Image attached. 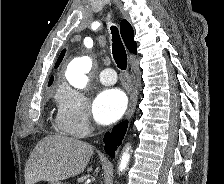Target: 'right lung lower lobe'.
Here are the masks:
<instances>
[{
    "mask_svg": "<svg viewBox=\"0 0 224 184\" xmlns=\"http://www.w3.org/2000/svg\"><path fill=\"white\" fill-rule=\"evenodd\" d=\"M128 122H121L115 128H113L111 133H107L104 137L105 151L111 157H115V150L122 142V139L126 133Z\"/></svg>",
    "mask_w": 224,
    "mask_h": 184,
    "instance_id": "obj_1",
    "label": "right lung lower lobe"
}]
</instances>
